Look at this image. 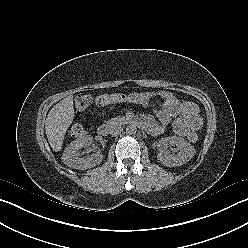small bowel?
<instances>
[{"instance_id": "obj_1", "label": "small bowel", "mask_w": 248, "mask_h": 248, "mask_svg": "<svg viewBox=\"0 0 248 248\" xmlns=\"http://www.w3.org/2000/svg\"><path fill=\"white\" fill-rule=\"evenodd\" d=\"M153 98L162 100L161 108L155 111L160 124L150 118L143 121L152 134H161L164 127L172 121L175 133L187 139L191 133L201 128L202 118L197 105L189 101H181L171 92L158 90L129 93L125 94L123 102L146 106Z\"/></svg>"}]
</instances>
